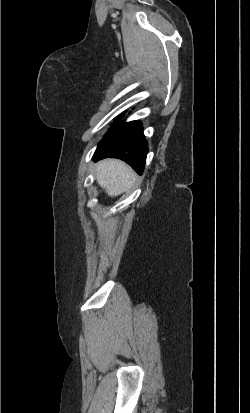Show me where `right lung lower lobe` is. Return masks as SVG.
Wrapping results in <instances>:
<instances>
[{"instance_id":"1","label":"right lung lower lobe","mask_w":250,"mask_h":413,"mask_svg":"<svg viewBox=\"0 0 250 413\" xmlns=\"http://www.w3.org/2000/svg\"><path fill=\"white\" fill-rule=\"evenodd\" d=\"M147 142L137 121L119 123L98 144L93 160L107 157L119 158L127 162L140 175L144 170Z\"/></svg>"}]
</instances>
